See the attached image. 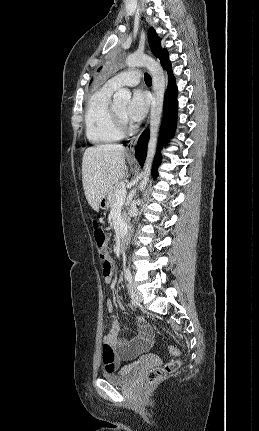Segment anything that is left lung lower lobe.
<instances>
[{
	"label": "left lung lower lobe",
	"mask_w": 259,
	"mask_h": 431,
	"mask_svg": "<svg viewBox=\"0 0 259 431\" xmlns=\"http://www.w3.org/2000/svg\"><path fill=\"white\" fill-rule=\"evenodd\" d=\"M161 64L167 70L169 76L168 88L165 95V105H164V116L161 126V135L159 143L163 145L170 139L176 128V119H177V88L175 84V78L172 74L171 70V62L168 58V53L166 50L159 57ZM149 138V130H146L139 138L138 144L136 146V158L138 159L141 166H143L146 151H147V142ZM160 161V156L158 155L154 164L153 173L157 174V166Z\"/></svg>",
	"instance_id": "1"
}]
</instances>
